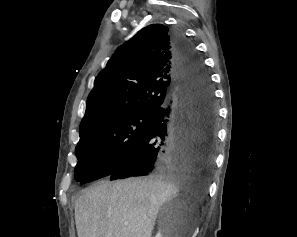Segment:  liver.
Wrapping results in <instances>:
<instances>
[{"instance_id": "1", "label": "liver", "mask_w": 297, "mask_h": 237, "mask_svg": "<svg viewBox=\"0 0 297 237\" xmlns=\"http://www.w3.org/2000/svg\"><path fill=\"white\" fill-rule=\"evenodd\" d=\"M180 189H192L181 174L102 181L75 204L78 237H151L158 211Z\"/></svg>"}]
</instances>
